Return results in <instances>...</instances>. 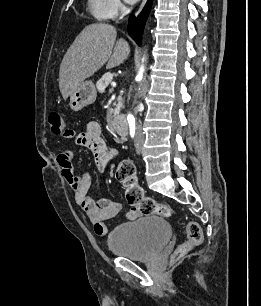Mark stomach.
Listing matches in <instances>:
<instances>
[{"mask_svg": "<svg viewBox=\"0 0 261 306\" xmlns=\"http://www.w3.org/2000/svg\"><path fill=\"white\" fill-rule=\"evenodd\" d=\"M69 106L73 111H80L94 103L97 97L95 85L91 81L80 84L70 95Z\"/></svg>", "mask_w": 261, "mask_h": 306, "instance_id": "stomach-1", "label": "stomach"}]
</instances>
